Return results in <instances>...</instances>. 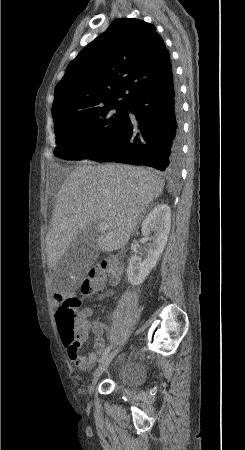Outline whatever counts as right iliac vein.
Returning a JSON list of instances; mask_svg holds the SVG:
<instances>
[{
	"label": "right iliac vein",
	"instance_id": "63e3f726",
	"mask_svg": "<svg viewBox=\"0 0 245 450\" xmlns=\"http://www.w3.org/2000/svg\"><path fill=\"white\" fill-rule=\"evenodd\" d=\"M118 351H119V348L114 350L108 356L104 357L102 359V361L100 362L99 366L97 367V369L94 372L93 378H92L91 383H90V385L88 387V391H89L90 394L94 393L95 386H96L100 376L107 369V367L109 366V364L111 363V361L115 357V355L118 353Z\"/></svg>",
	"mask_w": 245,
	"mask_h": 450
}]
</instances>
